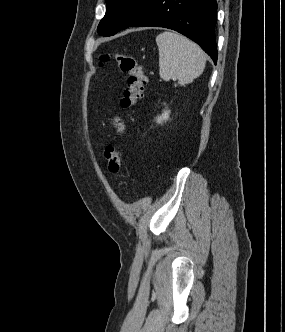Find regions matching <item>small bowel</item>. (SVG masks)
<instances>
[{
	"label": "small bowel",
	"mask_w": 285,
	"mask_h": 332,
	"mask_svg": "<svg viewBox=\"0 0 285 332\" xmlns=\"http://www.w3.org/2000/svg\"><path fill=\"white\" fill-rule=\"evenodd\" d=\"M114 125L116 126L118 132L123 133L125 131V124L121 119L115 118Z\"/></svg>",
	"instance_id": "small-bowel-1"
}]
</instances>
